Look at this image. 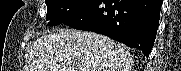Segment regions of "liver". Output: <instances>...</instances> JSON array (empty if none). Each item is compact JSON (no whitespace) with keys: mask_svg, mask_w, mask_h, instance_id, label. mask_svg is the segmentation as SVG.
<instances>
[{"mask_svg":"<svg viewBox=\"0 0 181 71\" xmlns=\"http://www.w3.org/2000/svg\"><path fill=\"white\" fill-rule=\"evenodd\" d=\"M132 65L130 53L106 36L59 29L33 43L27 71H131Z\"/></svg>","mask_w":181,"mask_h":71,"instance_id":"1","label":"liver"}]
</instances>
